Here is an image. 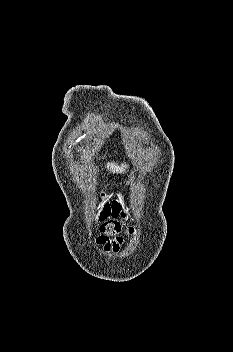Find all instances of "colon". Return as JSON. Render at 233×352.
I'll list each match as a JSON object with an SVG mask.
<instances>
[{
	"mask_svg": "<svg viewBox=\"0 0 233 352\" xmlns=\"http://www.w3.org/2000/svg\"><path fill=\"white\" fill-rule=\"evenodd\" d=\"M123 230L121 224L115 220H104L100 226V231L103 234V238L109 239L110 237H115Z\"/></svg>",
	"mask_w": 233,
	"mask_h": 352,
	"instance_id": "1",
	"label": "colon"
}]
</instances>
